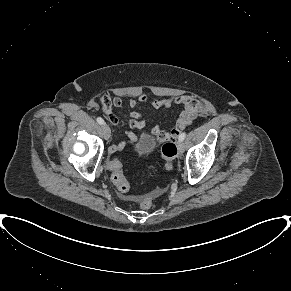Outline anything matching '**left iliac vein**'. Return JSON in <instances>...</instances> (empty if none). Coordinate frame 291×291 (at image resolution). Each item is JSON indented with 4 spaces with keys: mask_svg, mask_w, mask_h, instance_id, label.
Returning <instances> with one entry per match:
<instances>
[{
    "mask_svg": "<svg viewBox=\"0 0 291 291\" xmlns=\"http://www.w3.org/2000/svg\"><path fill=\"white\" fill-rule=\"evenodd\" d=\"M177 147H178L179 153H183L184 152V143L182 141H178Z\"/></svg>",
    "mask_w": 291,
    "mask_h": 291,
    "instance_id": "obj_1",
    "label": "left iliac vein"
}]
</instances>
